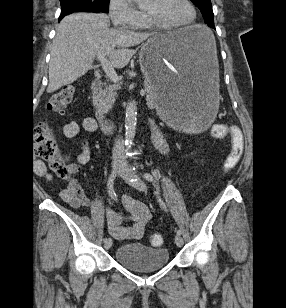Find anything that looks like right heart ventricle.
I'll return each mask as SVG.
<instances>
[{"label":"right heart ventricle","instance_id":"e07e8e85","mask_svg":"<svg viewBox=\"0 0 286 308\" xmlns=\"http://www.w3.org/2000/svg\"><path fill=\"white\" fill-rule=\"evenodd\" d=\"M139 29H149L151 28V25L147 22L146 19H143L140 25L137 27Z\"/></svg>","mask_w":286,"mask_h":308}]
</instances>
